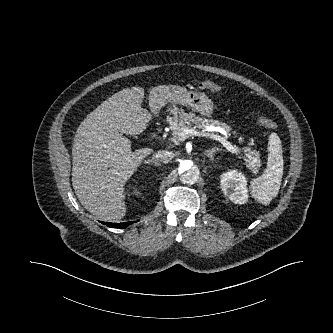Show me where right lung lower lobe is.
<instances>
[{
	"label": "right lung lower lobe",
	"instance_id": "1",
	"mask_svg": "<svg viewBox=\"0 0 333 333\" xmlns=\"http://www.w3.org/2000/svg\"><path fill=\"white\" fill-rule=\"evenodd\" d=\"M134 223L133 222H124V223H103L106 224L110 228H126L128 225Z\"/></svg>",
	"mask_w": 333,
	"mask_h": 333
}]
</instances>
